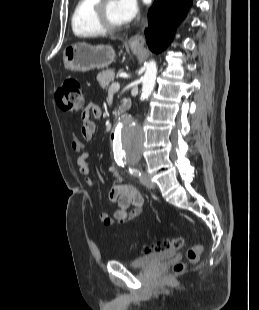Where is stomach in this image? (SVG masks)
<instances>
[{
	"instance_id": "stomach-1",
	"label": "stomach",
	"mask_w": 259,
	"mask_h": 310,
	"mask_svg": "<svg viewBox=\"0 0 259 310\" xmlns=\"http://www.w3.org/2000/svg\"><path fill=\"white\" fill-rule=\"evenodd\" d=\"M133 53H138L139 48L131 46ZM115 59V52L111 46H92L87 43H76L67 46L63 51V61L66 69L71 71L86 72L95 68H106Z\"/></svg>"
}]
</instances>
